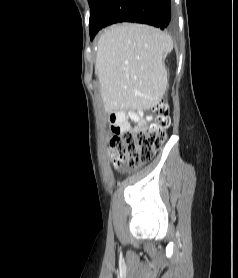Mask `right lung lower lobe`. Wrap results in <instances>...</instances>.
Returning <instances> with one entry per match:
<instances>
[{
  "mask_svg": "<svg viewBox=\"0 0 238 278\" xmlns=\"http://www.w3.org/2000/svg\"><path fill=\"white\" fill-rule=\"evenodd\" d=\"M123 21L167 29L171 21L170 0H96L90 12L91 40L101 28Z\"/></svg>",
  "mask_w": 238,
  "mask_h": 278,
  "instance_id": "98d812e1",
  "label": "right lung lower lobe"
}]
</instances>
